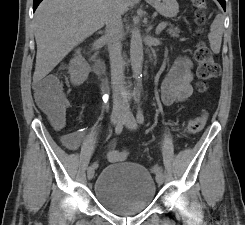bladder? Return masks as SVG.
<instances>
[{
	"mask_svg": "<svg viewBox=\"0 0 245 225\" xmlns=\"http://www.w3.org/2000/svg\"><path fill=\"white\" fill-rule=\"evenodd\" d=\"M93 196L106 211L119 216H132L154 203L157 187L147 168L121 161L99 171Z\"/></svg>",
	"mask_w": 245,
	"mask_h": 225,
	"instance_id": "obj_1",
	"label": "bladder"
}]
</instances>
